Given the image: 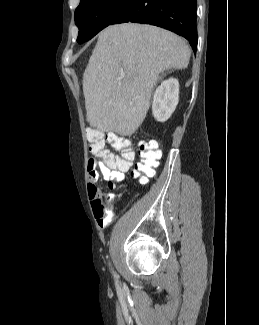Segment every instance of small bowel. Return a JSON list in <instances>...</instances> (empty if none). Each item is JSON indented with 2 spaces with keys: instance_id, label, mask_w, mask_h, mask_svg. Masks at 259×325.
<instances>
[{
  "instance_id": "c3829d8e",
  "label": "small bowel",
  "mask_w": 259,
  "mask_h": 325,
  "mask_svg": "<svg viewBox=\"0 0 259 325\" xmlns=\"http://www.w3.org/2000/svg\"><path fill=\"white\" fill-rule=\"evenodd\" d=\"M155 142V141H153ZM102 160L97 161L95 158L88 161V193L91 200L93 213L100 227H106L112 219V212L109 207L102 201L97 181L101 174L104 180L121 182L124 179V173L128 168H120V157L108 151L101 155ZM114 199L113 194H108L105 201L108 205Z\"/></svg>"
}]
</instances>
